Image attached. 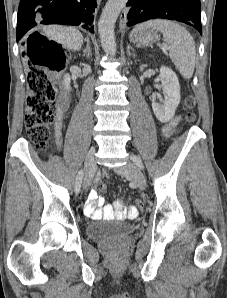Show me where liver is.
<instances>
[{"mask_svg":"<svg viewBox=\"0 0 227 298\" xmlns=\"http://www.w3.org/2000/svg\"><path fill=\"white\" fill-rule=\"evenodd\" d=\"M45 35L70 50L78 51L83 44V35L72 27L50 25L43 28Z\"/></svg>","mask_w":227,"mask_h":298,"instance_id":"6515ba94","label":"liver"}]
</instances>
